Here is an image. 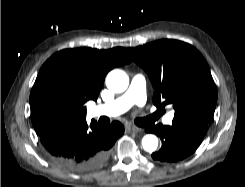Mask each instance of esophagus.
Listing matches in <instances>:
<instances>
[{
	"label": "esophagus",
	"instance_id": "esophagus-1",
	"mask_svg": "<svg viewBox=\"0 0 245 187\" xmlns=\"http://www.w3.org/2000/svg\"><path fill=\"white\" fill-rule=\"evenodd\" d=\"M125 129L128 132H141L143 130L142 128H139V127H137V126H135L133 124H127L125 126Z\"/></svg>",
	"mask_w": 245,
	"mask_h": 187
}]
</instances>
